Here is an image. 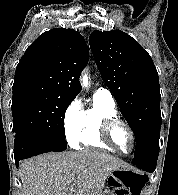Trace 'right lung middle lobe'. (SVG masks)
<instances>
[{
	"mask_svg": "<svg viewBox=\"0 0 178 195\" xmlns=\"http://www.w3.org/2000/svg\"><path fill=\"white\" fill-rule=\"evenodd\" d=\"M74 98L43 93H24L12 97L15 139L59 138L65 140V111Z\"/></svg>",
	"mask_w": 178,
	"mask_h": 195,
	"instance_id": "right-lung-middle-lobe-1",
	"label": "right lung middle lobe"
}]
</instances>
